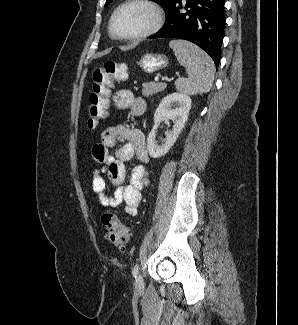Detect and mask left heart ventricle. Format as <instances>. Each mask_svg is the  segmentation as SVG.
I'll use <instances>...</instances> for the list:
<instances>
[{
  "mask_svg": "<svg viewBox=\"0 0 298 325\" xmlns=\"http://www.w3.org/2000/svg\"><path fill=\"white\" fill-rule=\"evenodd\" d=\"M150 15L140 8H127L119 12L114 28L118 37L129 40L142 32L150 23Z\"/></svg>",
  "mask_w": 298,
  "mask_h": 325,
  "instance_id": "left-heart-ventricle-1",
  "label": "left heart ventricle"
}]
</instances>
